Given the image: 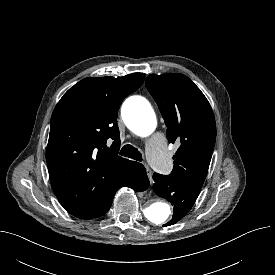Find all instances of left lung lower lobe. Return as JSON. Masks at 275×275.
I'll use <instances>...</instances> for the list:
<instances>
[{"instance_id": "0a47b994", "label": "left lung lower lobe", "mask_w": 275, "mask_h": 275, "mask_svg": "<svg viewBox=\"0 0 275 275\" xmlns=\"http://www.w3.org/2000/svg\"><path fill=\"white\" fill-rule=\"evenodd\" d=\"M153 179L155 193L174 206L173 217L165 226L173 225L190 211L200 193L201 186L158 173L153 174Z\"/></svg>"}]
</instances>
